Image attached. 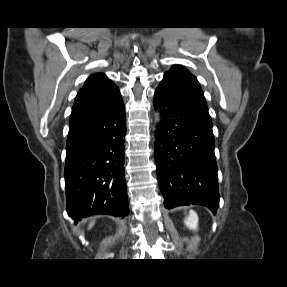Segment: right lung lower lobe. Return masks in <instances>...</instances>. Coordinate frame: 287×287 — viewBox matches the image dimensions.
<instances>
[{
  "label": "right lung lower lobe",
  "mask_w": 287,
  "mask_h": 287,
  "mask_svg": "<svg viewBox=\"0 0 287 287\" xmlns=\"http://www.w3.org/2000/svg\"><path fill=\"white\" fill-rule=\"evenodd\" d=\"M125 106L70 119L67 138L66 210L75 220L93 214L129 213L124 179Z\"/></svg>",
  "instance_id": "obj_1"
}]
</instances>
